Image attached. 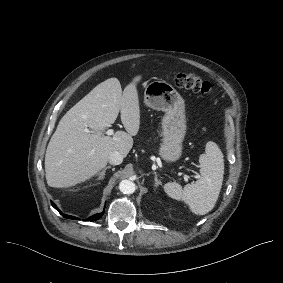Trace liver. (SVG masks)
Here are the masks:
<instances>
[{"label":"liver","instance_id":"6515ba94","mask_svg":"<svg viewBox=\"0 0 283 283\" xmlns=\"http://www.w3.org/2000/svg\"><path fill=\"white\" fill-rule=\"evenodd\" d=\"M140 80L141 76L134 77L122 92L117 78L107 79L61 118L45 155L50 187H70L90 179L107 165L111 152L128 155L132 136L137 135L140 126L136 89ZM119 112L126 132L105 136L103 132L116 121Z\"/></svg>","mask_w":283,"mask_h":283}]
</instances>
